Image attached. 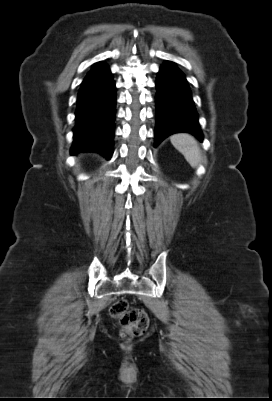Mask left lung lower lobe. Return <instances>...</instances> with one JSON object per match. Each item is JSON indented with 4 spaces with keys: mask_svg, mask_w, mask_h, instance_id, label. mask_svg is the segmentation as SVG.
Listing matches in <instances>:
<instances>
[{
    "mask_svg": "<svg viewBox=\"0 0 272 401\" xmlns=\"http://www.w3.org/2000/svg\"><path fill=\"white\" fill-rule=\"evenodd\" d=\"M156 147L167 136L188 132L203 140L198 114L184 74L172 63L160 68L156 81Z\"/></svg>",
    "mask_w": 272,
    "mask_h": 401,
    "instance_id": "1",
    "label": "left lung lower lobe"
}]
</instances>
